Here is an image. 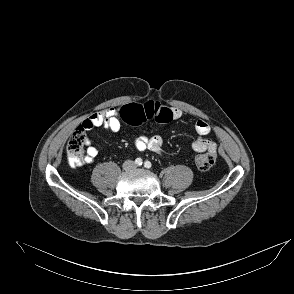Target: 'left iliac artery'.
Instances as JSON below:
<instances>
[{"mask_svg": "<svg viewBox=\"0 0 294 294\" xmlns=\"http://www.w3.org/2000/svg\"><path fill=\"white\" fill-rule=\"evenodd\" d=\"M144 166L146 168H151L152 165H151V162L150 161H145Z\"/></svg>", "mask_w": 294, "mask_h": 294, "instance_id": "left-iliac-artery-1", "label": "left iliac artery"}]
</instances>
